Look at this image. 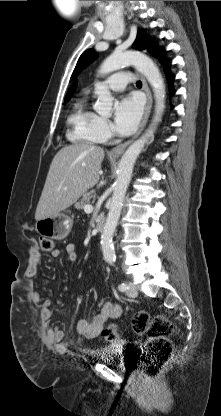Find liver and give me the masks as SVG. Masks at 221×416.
<instances>
[{
  "label": "liver",
  "mask_w": 221,
  "mask_h": 416,
  "mask_svg": "<svg viewBox=\"0 0 221 416\" xmlns=\"http://www.w3.org/2000/svg\"><path fill=\"white\" fill-rule=\"evenodd\" d=\"M103 159L104 150L95 145L75 143L59 150L51 162L35 219L57 215L94 187Z\"/></svg>",
  "instance_id": "6515ba94"
}]
</instances>
